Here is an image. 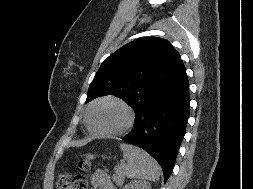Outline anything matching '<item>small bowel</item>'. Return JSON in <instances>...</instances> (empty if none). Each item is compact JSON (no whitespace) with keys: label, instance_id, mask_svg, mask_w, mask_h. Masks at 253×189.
<instances>
[{"label":"small bowel","instance_id":"small-bowel-1","mask_svg":"<svg viewBox=\"0 0 253 189\" xmlns=\"http://www.w3.org/2000/svg\"><path fill=\"white\" fill-rule=\"evenodd\" d=\"M93 189H116L110 176L103 170H96L91 175Z\"/></svg>","mask_w":253,"mask_h":189}]
</instances>
